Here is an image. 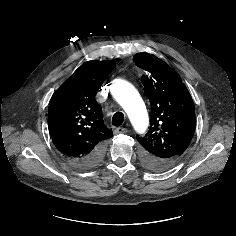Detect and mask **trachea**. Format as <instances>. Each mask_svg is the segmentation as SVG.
Segmentation results:
<instances>
[{"instance_id": "1", "label": "trachea", "mask_w": 236, "mask_h": 236, "mask_svg": "<svg viewBox=\"0 0 236 236\" xmlns=\"http://www.w3.org/2000/svg\"><path fill=\"white\" fill-rule=\"evenodd\" d=\"M124 121V115L123 113L121 112H116L114 115H113V118H112V124L116 127H119L122 125Z\"/></svg>"}]
</instances>
